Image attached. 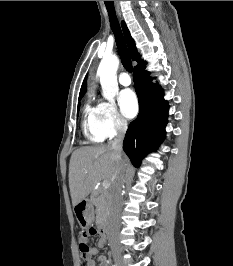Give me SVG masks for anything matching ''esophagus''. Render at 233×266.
I'll return each instance as SVG.
<instances>
[{"label":"esophagus","instance_id":"1","mask_svg":"<svg viewBox=\"0 0 233 266\" xmlns=\"http://www.w3.org/2000/svg\"><path fill=\"white\" fill-rule=\"evenodd\" d=\"M116 8H117L118 14L120 15V10H119V5L118 4H116Z\"/></svg>","mask_w":233,"mask_h":266}]
</instances>
